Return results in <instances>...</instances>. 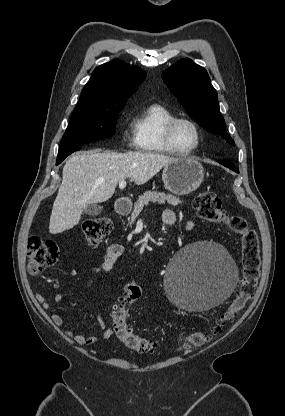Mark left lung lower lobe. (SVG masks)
Returning <instances> with one entry per match:
<instances>
[{
  "label": "left lung lower lobe",
  "instance_id": "0a47b994",
  "mask_svg": "<svg viewBox=\"0 0 285 416\" xmlns=\"http://www.w3.org/2000/svg\"><path fill=\"white\" fill-rule=\"evenodd\" d=\"M218 162L224 165L225 167L239 173V170L235 167V165L232 162H228V161H218Z\"/></svg>",
  "mask_w": 285,
  "mask_h": 416
}]
</instances>
